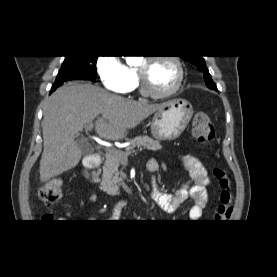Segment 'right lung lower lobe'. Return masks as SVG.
<instances>
[{"label":"right lung lower lobe","instance_id":"98d812e1","mask_svg":"<svg viewBox=\"0 0 277 277\" xmlns=\"http://www.w3.org/2000/svg\"><path fill=\"white\" fill-rule=\"evenodd\" d=\"M69 79H86L82 75L73 73V74H59L56 78V81L54 83V86L51 90L53 92L57 87H59L64 81H67Z\"/></svg>","mask_w":277,"mask_h":277}]
</instances>
